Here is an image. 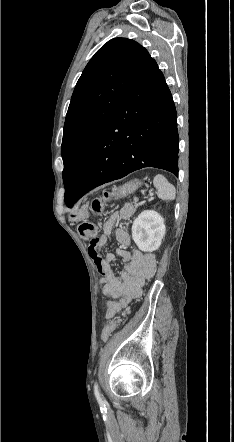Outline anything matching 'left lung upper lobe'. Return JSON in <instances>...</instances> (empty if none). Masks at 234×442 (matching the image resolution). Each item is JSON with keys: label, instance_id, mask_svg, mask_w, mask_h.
<instances>
[{"label": "left lung upper lobe", "instance_id": "obj_1", "mask_svg": "<svg viewBox=\"0 0 234 442\" xmlns=\"http://www.w3.org/2000/svg\"><path fill=\"white\" fill-rule=\"evenodd\" d=\"M151 59L148 51L134 40L114 38L85 67L64 124L61 153L65 202L77 189L99 133Z\"/></svg>", "mask_w": 234, "mask_h": 442}]
</instances>
